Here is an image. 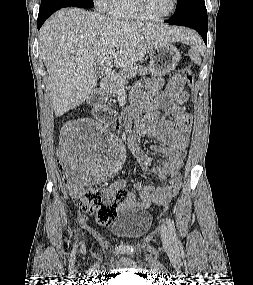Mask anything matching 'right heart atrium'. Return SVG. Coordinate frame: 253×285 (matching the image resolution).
<instances>
[{"label": "right heart atrium", "instance_id": "1", "mask_svg": "<svg viewBox=\"0 0 253 285\" xmlns=\"http://www.w3.org/2000/svg\"><path fill=\"white\" fill-rule=\"evenodd\" d=\"M93 1L99 9H105L109 2V0H93Z\"/></svg>", "mask_w": 253, "mask_h": 285}]
</instances>
